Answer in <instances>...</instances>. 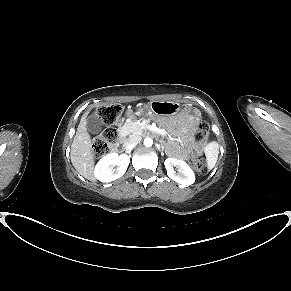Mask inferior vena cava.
Listing matches in <instances>:
<instances>
[{
    "instance_id": "602c4592",
    "label": "inferior vena cava",
    "mask_w": 291,
    "mask_h": 291,
    "mask_svg": "<svg viewBox=\"0 0 291 291\" xmlns=\"http://www.w3.org/2000/svg\"><path fill=\"white\" fill-rule=\"evenodd\" d=\"M140 142V138L139 137H136V138H133V139H130V141L127 143L126 145V148L128 150H131L133 149L138 143Z\"/></svg>"
}]
</instances>
